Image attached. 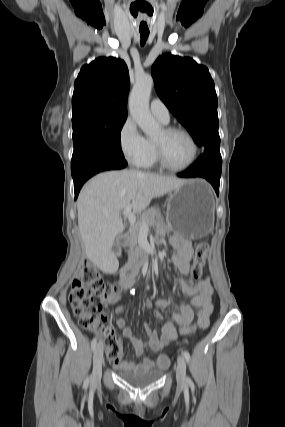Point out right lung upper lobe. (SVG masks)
<instances>
[{"label":"right lung upper lobe","instance_id":"obj_1","mask_svg":"<svg viewBox=\"0 0 285 427\" xmlns=\"http://www.w3.org/2000/svg\"><path fill=\"white\" fill-rule=\"evenodd\" d=\"M129 74L124 61L100 57L84 65L74 84L73 117L127 116Z\"/></svg>","mask_w":285,"mask_h":427}]
</instances>
